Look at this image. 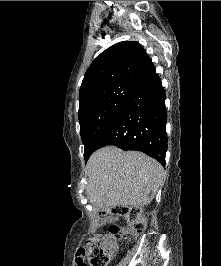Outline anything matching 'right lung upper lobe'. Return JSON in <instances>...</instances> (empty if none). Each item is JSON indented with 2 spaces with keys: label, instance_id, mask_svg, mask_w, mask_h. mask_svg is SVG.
Returning a JSON list of instances; mask_svg holds the SVG:
<instances>
[{
  "label": "right lung upper lobe",
  "instance_id": "right-lung-upper-lobe-1",
  "mask_svg": "<svg viewBox=\"0 0 221 266\" xmlns=\"http://www.w3.org/2000/svg\"><path fill=\"white\" fill-rule=\"evenodd\" d=\"M155 74L154 64L138 42L116 43L96 57L86 71L79 101L98 89L118 85L139 87Z\"/></svg>",
  "mask_w": 221,
  "mask_h": 266
}]
</instances>
